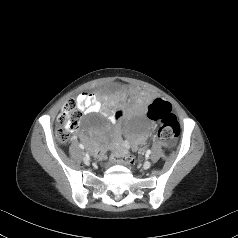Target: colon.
<instances>
[{"label":"colon","instance_id":"colon-1","mask_svg":"<svg viewBox=\"0 0 238 238\" xmlns=\"http://www.w3.org/2000/svg\"><path fill=\"white\" fill-rule=\"evenodd\" d=\"M81 116V109L77 101L75 99L67 100L57 119L56 135L60 142L66 143L69 140L70 133L78 127ZM116 116H119V113ZM147 116L159 123L157 137L164 145H169L178 137L180 125L168 102L160 99L154 100L147 107ZM111 162L131 165L134 163V157L125 150H118L112 155Z\"/></svg>","mask_w":238,"mask_h":238}]
</instances>
